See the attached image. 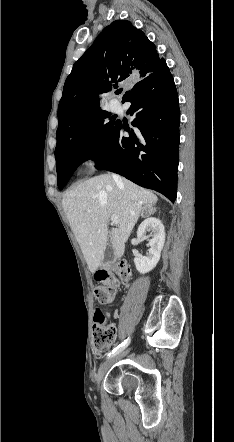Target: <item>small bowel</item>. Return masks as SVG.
Masks as SVG:
<instances>
[{
  "mask_svg": "<svg viewBox=\"0 0 234 442\" xmlns=\"http://www.w3.org/2000/svg\"><path fill=\"white\" fill-rule=\"evenodd\" d=\"M98 325H99V326H102V325H103V322H102V321H99V322H98Z\"/></svg>",
  "mask_w": 234,
  "mask_h": 442,
  "instance_id": "small-bowel-1",
  "label": "small bowel"
}]
</instances>
